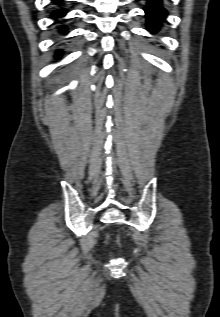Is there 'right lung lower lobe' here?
<instances>
[{"mask_svg": "<svg viewBox=\"0 0 220 317\" xmlns=\"http://www.w3.org/2000/svg\"><path fill=\"white\" fill-rule=\"evenodd\" d=\"M55 2H60L61 0H54ZM66 13V11H56L54 12V14L52 15L54 18L55 17H60L63 16ZM65 29H63L64 31Z\"/></svg>", "mask_w": 220, "mask_h": 317, "instance_id": "obj_1", "label": "right lung lower lobe"}]
</instances>
